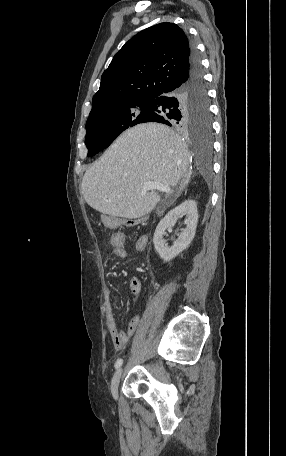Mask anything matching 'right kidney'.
<instances>
[{"label":"right kidney","instance_id":"obj_1","mask_svg":"<svg viewBox=\"0 0 286 456\" xmlns=\"http://www.w3.org/2000/svg\"><path fill=\"white\" fill-rule=\"evenodd\" d=\"M182 215H186V228L181 232L178 242L172 246L166 244L163 238L165 230L172 228L177 219ZM198 222L197 203L194 200L188 199L170 210L167 215L159 222L156 227L153 243L156 251L164 261H170L184 251L192 242Z\"/></svg>","mask_w":286,"mask_h":456}]
</instances>
